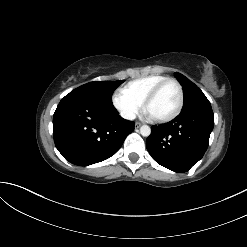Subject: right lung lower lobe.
Here are the masks:
<instances>
[{"instance_id":"obj_1","label":"right lung lower lobe","mask_w":247,"mask_h":247,"mask_svg":"<svg viewBox=\"0 0 247 247\" xmlns=\"http://www.w3.org/2000/svg\"><path fill=\"white\" fill-rule=\"evenodd\" d=\"M134 126L112 104L65 96L53 117L54 142L67 161L87 166L114 155Z\"/></svg>"}]
</instances>
